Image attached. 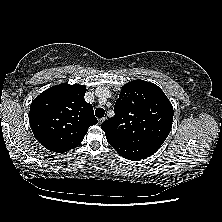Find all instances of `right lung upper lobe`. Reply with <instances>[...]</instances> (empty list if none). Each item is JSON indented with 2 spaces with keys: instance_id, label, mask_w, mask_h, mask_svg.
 <instances>
[{
  "instance_id": "right-lung-upper-lobe-1",
  "label": "right lung upper lobe",
  "mask_w": 222,
  "mask_h": 222,
  "mask_svg": "<svg viewBox=\"0 0 222 222\" xmlns=\"http://www.w3.org/2000/svg\"><path fill=\"white\" fill-rule=\"evenodd\" d=\"M84 85H55L32 101L30 126L35 138L46 149L64 153L76 148L88 128L97 124L93 106L84 99Z\"/></svg>"
}]
</instances>
